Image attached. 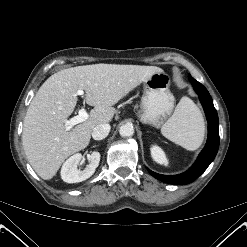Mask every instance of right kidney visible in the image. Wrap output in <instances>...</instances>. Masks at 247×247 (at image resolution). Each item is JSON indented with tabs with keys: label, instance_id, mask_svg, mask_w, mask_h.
<instances>
[{
	"label": "right kidney",
	"instance_id": "ca27d5eb",
	"mask_svg": "<svg viewBox=\"0 0 247 247\" xmlns=\"http://www.w3.org/2000/svg\"><path fill=\"white\" fill-rule=\"evenodd\" d=\"M82 159L80 153L74 154L68 158L61 168V178L67 183L82 182L91 177L100 162V153L97 151L92 152L89 156V164L84 170L77 168Z\"/></svg>",
	"mask_w": 247,
	"mask_h": 247
}]
</instances>
